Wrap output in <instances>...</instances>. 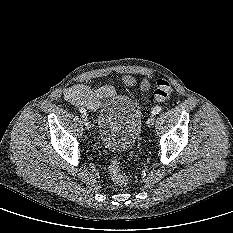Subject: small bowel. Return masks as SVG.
Listing matches in <instances>:
<instances>
[{"label": "small bowel", "instance_id": "c3829d8e", "mask_svg": "<svg viewBox=\"0 0 233 233\" xmlns=\"http://www.w3.org/2000/svg\"><path fill=\"white\" fill-rule=\"evenodd\" d=\"M124 82L127 85H134L136 81L131 77H125ZM142 91H148L150 84L147 80L140 82ZM114 93L111 85H103L98 88H91L89 86L79 84L68 88L65 93V99L79 108L85 110H95L105 98L110 97Z\"/></svg>", "mask_w": 233, "mask_h": 233}]
</instances>
